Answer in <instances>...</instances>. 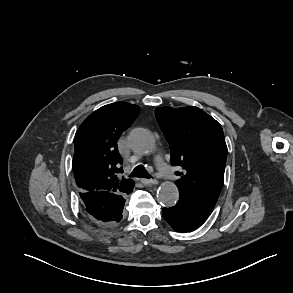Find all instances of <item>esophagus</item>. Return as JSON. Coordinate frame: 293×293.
I'll list each match as a JSON object with an SVG mask.
<instances>
[{"label":"esophagus","instance_id":"1","mask_svg":"<svg viewBox=\"0 0 293 293\" xmlns=\"http://www.w3.org/2000/svg\"><path fill=\"white\" fill-rule=\"evenodd\" d=\"M140 182L144 185H155L158 184V181L156 179H140Z\"/></svg>","mask_w":293,"mask_h":293}]
</instances>
